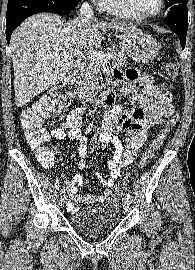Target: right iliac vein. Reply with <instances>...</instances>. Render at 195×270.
I'll return each mask as SVG.
<instances>
[{
    "label": "right iliac vein",
    "mask_w": 195,
    "mask_h": 270,
    "mask_svg": "<svg viewBox=\"0 0 195 270\" xmlns=\"http://www.w3.org/2000/svg\"><path fill=\"white\" fill-rule=\"evenodd\" d=\"M66 201H67L66 195L61 196V198H60V204L61 205H65L66 204Z\"/></svg>",
    "instance_id": "obj_1"
}]
</instances>
